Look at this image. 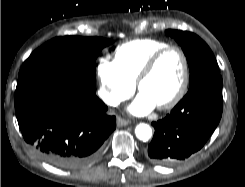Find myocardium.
<instances>
[{
  "instance_id": "obj_1",
  "label": "myocardium",
  "mask_w": 245,
  "mask_h": 187,
  "mask_svg": "<svg viewBox=\"0 0 245 187\" xmlns=\"http://www.w3.org/2000/svg\"><path fill=\"white\" fill-rule=\"evenodd\" d=\"M169 51H176L180 55L183 64V74L178 90L169 100L157 106L159 110H168L175 107L183 99L188 90L190 78L189 61L183 49L176 45H168L157 50L141 69L135 83L136 89L140 91L142 83L152 74L161 57Z\"/></svg>"
}]
</instances>
